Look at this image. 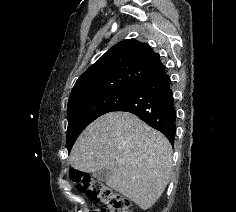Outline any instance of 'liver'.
<instances>
[{"label": "liver", "instance_id": "obj_1", "mask_svg": "<svg viewBox=\"0 0 236 212\" xmlns=\"http://www.w3.org/2000/svg\"><path fill=\"white\" fill-rule=\"evenodd\" d=\"M168 139L128 112L107 113L76 140L70 163L75 169L111 172L106 184L141 209L151 208L164 192L172 168Z\"/></svg>", "mask_w": 236, "mask_h": 212}]
</instances>
